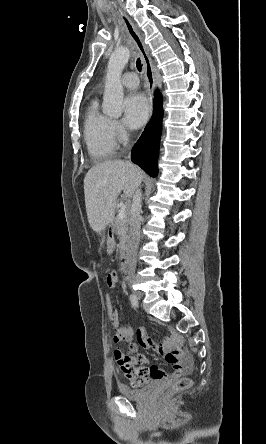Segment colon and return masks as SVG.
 <instances>
[{
  "label": "colon",
  "mask_w": 266,
  "mask_h": 444,
  "mask_svg": "<svg viewBox=\"0 0 266 444\" xmlns=\"http://www.w3.org/2000/svg\"><path fill=\"white\" fill-rule=\"evenodd\" d=\"M105 310L109 319L117 316L118 311L115 308L113 301L110 296L106 297L105 300ZM191 386V380L189 378H179L172 385L169 392L165 395V398L169 397L171 394L185 390Z\"/></svg>",
  "instance_id": "1"
}]
</instances>
